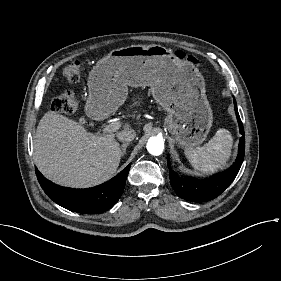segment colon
Here are the masks:
<instances>
[{
	"mask_svg": "<svg viewBox=\"0 0 281 281\" xmlns=\"http://www.w3.org/2000/svg\"><path fill=\"white\" fill-rule=\"evenodd\" d=\"M179 57L191 61L196 60L193 56H186L184 54H180ZM81 74L82 64L77 60L67 64L62 71L63 78L69 82L79 81ZM76 108L77 100L71 91H63L53 101V110L55 113L72 114L76 111Z\"/></svg>",
	"mask_w": 281,
	"mask_h": 281,
	"instance_id": "colon-1",
	"label": "colon"
}]
</instances>
